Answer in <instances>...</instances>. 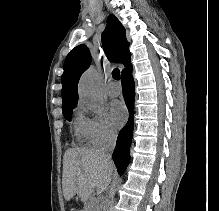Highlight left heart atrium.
<instances>
[{
	"label": "left heart atrium",
	"mask_w": 219,
	"mask_h": 211,
	"mask_svg": "<svg viewBox=\"0 0 219 211\" xmlns=\"http://www.w3.org/2000/svg\"><path fill=\"white\" fill-rule=\"evenodd\" d=\"M110 115L116 125H122L128 116L127 109L120 101H113L110 104Z\"/></svg>",
	"instance_id": "left-heart-atrium-1"
}]
</instances>
